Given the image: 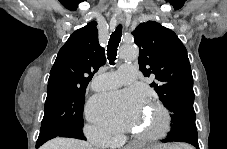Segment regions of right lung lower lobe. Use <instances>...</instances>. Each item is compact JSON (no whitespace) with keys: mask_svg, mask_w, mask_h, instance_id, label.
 I'll list each match as a JSON object with an SVG mask.
<instances>
[{"mask_svg":"<svg viewBox=\"0 0 227 149\" xmlns=\"http://www.w3.org/2000/svg\"><path fill=\"white\" fill-rule=\"evenodd\" d=\"M57 136L60 137H69V138H77V139H82L85 140L86 138L84 137L82 133V129H76V128H70V129H64L61 131H57L54 129H48V130H42L40 131L38 140L36 142V147H40L42 144H44L46 141L55 138Z\"/></svg>","mask_w":227,"mask_h":149,"instance_id":"98d812e1","label":"right lung lower lobe"}]
</instances>
